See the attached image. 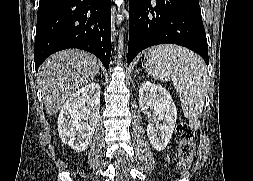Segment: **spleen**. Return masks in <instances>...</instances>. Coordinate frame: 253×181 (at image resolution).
<instances>
[{
	"label": "spleen",
	"mask_w": 253,
	"mask_h": 181,
	"mask_svg": "<svg viewBox=\"0 0 253 181\" xmlns=\"http://www.w3.org/2000/svg\"><path fill=\"white\" fill-rule=\"evenodd\" d=\"M144 67L156 80L173 81L184 116L197 119L204 106L207 69L205 62L194 52L178 45L163 44L145 53Z\"/></svg>",
	"instance_id": "obj_1"
}]
</instances>
